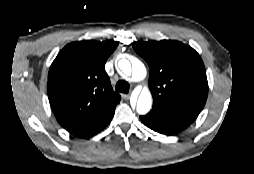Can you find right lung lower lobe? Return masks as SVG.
<instances>
[{
	"mask_svg": "<svg viewBox=\"0 0 254 174\" xmlns=\"http://www.w3.org/2000/svg\"><path fill=\"white\" fill-rule=\"evenodd\" d=\"M115 107L95 115L69 129L71 134L79 138H89L101 130L111 121L114 116Z\"/></svg>",
	"mask_w": 254,
	"mask_h": 174,
	"instance_id": "1",
	"label": "right lung lower lobe"
}]
</instances>
